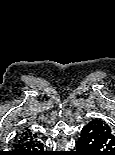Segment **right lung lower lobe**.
<instances>
[{
    "label": "right lung lower lobe",
    "instance_id": "1",
    "mask_svg": "<svg viewBox=\"0 0 115 155\" xmlns=\"http://www.w3.org/2000/svg\"><path fill=\"white\" fill-rule=\"evenodd\" d=\"M12 155H48V152L36 134L26 130L15 138Z\"/></svg>",
    "mask_w": 115,
    "mask_h": 155
}]
</instances>
